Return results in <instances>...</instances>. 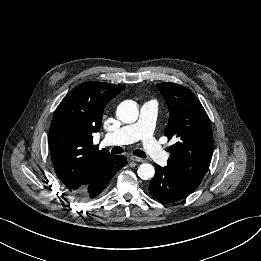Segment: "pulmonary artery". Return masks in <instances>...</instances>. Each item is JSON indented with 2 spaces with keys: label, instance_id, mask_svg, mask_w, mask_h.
Segmentation results:
<instances>
[{
  "label": "pulmonary artery",
  "instance_id": "e3ab8cb5",
  "mask_svg": "<svg viewBox=\"0 0 261 261\" xmlns=\"http://www.w3.org/2000/svg\"><path fill=\"white\" fill-rule=\"evenodd\" d=\"M157 115V103L153 100L145 102L141 107L138 122L127 125L120 130L108 133L104 139L105 144H129L141 140L149 156L159 165H165L168 154L159 146L154 137V126Z\"/></svg>",
  "mask_w": 261,
  "mask_h": 261
}]
</instances>
